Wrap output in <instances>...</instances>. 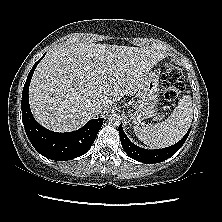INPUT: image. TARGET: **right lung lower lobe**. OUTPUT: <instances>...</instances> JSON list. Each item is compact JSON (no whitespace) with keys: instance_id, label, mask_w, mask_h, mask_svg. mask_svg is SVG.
Returning <instances> with one entry per match:
<instances>
[{"instance_id":"right-lung-lower-lobe-1","label":"right lung lower lobe","mask_w":222,"mask_h":222,"mask_svg":"<svg viewBox=\"0 0 222 222\" xmlns=\"http://www.w3.org/2000/svg\"><path fill=\"white\" fill-rule=\"evenodd\" d=\"M44 56L34 64L25 82L21 101L22 121L31 144L41 155L55 161L71 160L90 149L103 124V118L92 119L79 130L67 133L47 130L36 122L30 110L28 91L34 70Z\"/></svg>"}]
</instances>
